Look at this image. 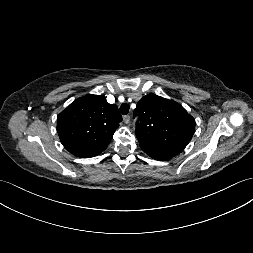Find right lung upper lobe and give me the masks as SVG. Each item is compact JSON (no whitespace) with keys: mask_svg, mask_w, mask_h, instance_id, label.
I'll return each instance as SVG.
<instances>
[{"mask_svg":"<svg viewBox=\"0 0 253 253\" xmlns=\"http://www.w3.org/2000/svg\"><path fill=\"white\" fill-rule=\"evenodd\" d=\"M122 117L115 104L102 95L76 99L57 117V132L63 146L73 155L87 158L104 151Z\"/></svg>","mask_w":253,"mask_h":253,"instance_id":"1","label":"right lung upper lobe"}]
</instances>
